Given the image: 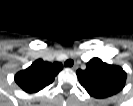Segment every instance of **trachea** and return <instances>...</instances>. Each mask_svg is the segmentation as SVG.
I'll list each match as a JSON object with an SVG mask.
<instances>
[{
    "mask_svg": "<svg viewBox=\"0 0 133 106\" xmlns=\"http://www.w3.org/2000/svg\"><path fill=\"white\" fill-rule=\"evenodd\" d=\"M73 64H74L73 60L68 59V60L65 61L64 66L65 67H72Z\"/></svg>",
    "mask_w": 133,
    "mask_h": 106,
    "instance_id": "trachea-1",
    "label": "trachea"
}]
</instances>
